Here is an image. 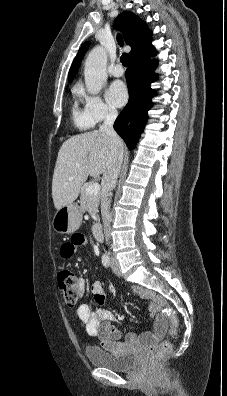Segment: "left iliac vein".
Wrapping results in <instances>:
<instances>
[{
    "label": "left iliac vein",
    "instance_id": "4c4485c4",
    "mask_svg": "<svg viewBox=\"0 0 227 396\" xmlns=\"http://www.w3.org/2000/svg\"><path fill=\"white\" fill-rule=\"evenodd\" d=\"M111 267H112L113 272L116 275H118V276L121 275L120 265H119L118 261L114 258L111 259Z\"/></svg>",
    "mask_w": 227,
    "mask_h": 396
}]
</instances>
